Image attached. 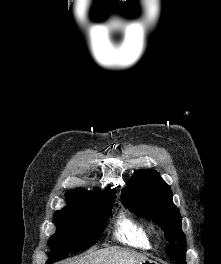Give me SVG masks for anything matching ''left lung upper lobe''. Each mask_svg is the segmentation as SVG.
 I'll use <instances>...</instances> for the list:
<instances>
[{
    "label": "left lung upper lobe",
    "mask_w": 221,
    "mask_h": 264,
    "mask_svg": "<svg viewBox=\"0 0 221 264\" xmlns=\"http://www.w3.org/2000/svg\"><path fill=\"white\" fill-rule=\"evenodd\" d=\"M121 201L131 212L156 222L170 244L165 247V252L179 264H186L187 244L181 215L173 204L170 187L155 170L136 172L122 189Z\"/></svg>",
    "instance_id": "5c2ea615"
}]
</instances>
